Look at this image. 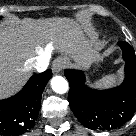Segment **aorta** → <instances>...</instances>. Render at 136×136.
<instances>
[{
  "label": "aorta",
  "mask_w": 136,
  "mask_h": 136,
  "mask_svg": "<svg viewBox=\"0 0 136 136\" xmlns=\"http://www.w3.org/2000/svg\"><path fill=\"white\" fill-rule=\"evenodd\" d=\"M51 87L54 92L64 94L68 91V82L61 76H55L51 79Z\"/></svg>",
  "instance_id": "aorta-1"
}]
</instances>
